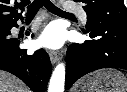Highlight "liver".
Wrapping results in <instances>:
<instances>
[{"mask_svg": "<svg viewBox=\"0 0 127 92\" xmlns=\"http://www.w3.org/2000/svg\"><path fill=\"white\" fill-rule=\"evenodd\" d=\"M0 92H30V90L20 79L0 70Z\"/></svg>", "mask_w": 127, "mask_h": 92, "instance_id": "liver-1", "label": "liver"}]
</instances>
